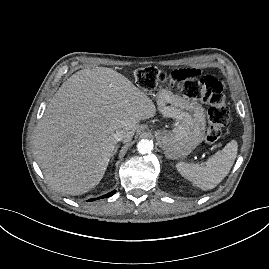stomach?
Here are the masks:
<instances>
[{
  "mask_svg": "<svg viewBox=\"0 0 269 269\" xmlns=\"http://www.w3.org/2000/svg\"><path fill=\"white\" fill-rule=\"evenodd\" d=\"M157 105L164 117L176 121L171 132L155 131L158 145L169 159L185 158L205 139L206 118L203 107L196 101L167 90L159 91Z\"/></svg>",
  "mask_w": 269,
  "mask_h": 269,
  "instance_id": "0dacf381",
  "label": "stomach"
}]
</instances>
